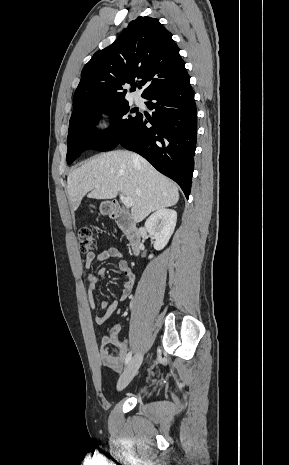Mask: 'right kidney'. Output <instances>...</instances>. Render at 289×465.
<instances>
[{
  "mask_svg": "<svg viewBox=\"0 0 289 465\" xmlns=\"http://www.w3.org/2000/svg\"><path fill=\"white\" fill-rule=\"evenodd\" d=\"M177 221V212L172 209H159L145 222V228L151 234L154 241V249L162 250L172 236ZM150 255L149 258H152Z\"/></svg>",
  "mask_w": 289,
  "mask_h": 465,
  "instance_id": "right-kidney-1",
  "label": "right kidney"
}]
</instances>
